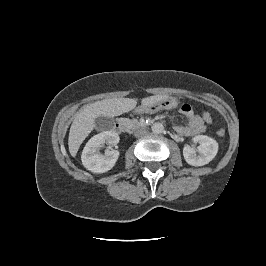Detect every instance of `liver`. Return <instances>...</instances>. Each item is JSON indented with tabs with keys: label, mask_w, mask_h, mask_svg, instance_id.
Returning a JSON list of instances; mask_svg holds the SVG:
<instances>
[{
	"label": "liver",
	"mask_w": 266,
	"mask_h": 266,
	"mask_svg": "<svg viewBox=\"0 0 266 266\" xmlns=\"http://www.w3.org/2000/svg\"><path fill=\"white\" fill-rule=\"evenodd\" d=\"M167 95H154L142 99V105H149L166 99ZM137 101L130 98H112L97 101L84 106L74 117L70 127L68 146L72 157H75L80 145L95 127L99 116L115 117L127 113L136 107Z\"/></svg>",
	"instance_id": "liver-1"
}]
</instances>
